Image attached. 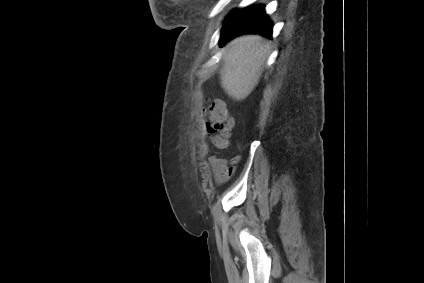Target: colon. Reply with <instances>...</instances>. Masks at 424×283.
I'll return each mask as SVG.
<instances>
[{
	"label": "colon",
	"instance_id": "colon-1",
	"mask_svg": "<svg viewBox=\"0 0 424 283\" xmlns=\"http://www.w3.org/2000/svg\"><path fill=\"white\" fill-rule=\"evenodd\" d=\"M206 115L211 121L206 128L207 136L216 147L225 148L232 126V118L227 109L220 102H211L206 109Z\"/></svg>",
	"mask_w": 424,
	"mask_h": 283
}]
</instances>
